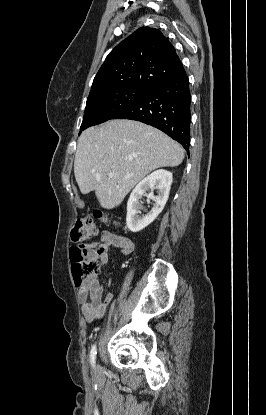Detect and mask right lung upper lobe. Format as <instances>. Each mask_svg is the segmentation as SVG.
I'll use <instances>...</instances> for the list:
<instances>
[{
  "label": "right lung upper lobe",
  "mask_w": 266,
  "mask_h": 415,
  "mask_svg": "<svg viewBox=\"0 0 266 415\" xmlns=\"http://www.w3.org/2000/svg\"><path fill=\"white\" fill-rule=\"evenodd\" d=\"M183 71L175 48L162 32L142 27L108 54L89 95L122 87L150 90Z\"/></svg>",
  "instance_id": "1"
}]
</instances>
